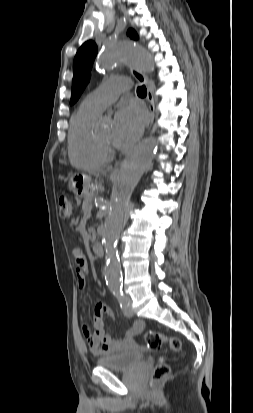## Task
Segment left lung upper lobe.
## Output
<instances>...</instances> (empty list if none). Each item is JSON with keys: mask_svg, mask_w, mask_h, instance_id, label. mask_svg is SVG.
<instances>
[{"mask_svg": "<svg viewBox=\"0 0 253 413\" xmlns=\"http://www.w3.org/2000/svg\"><path fill=\"white\" fill-rule=\"evenodd\" d=\"M128 35L137 39V34L130 29ZM98 48L95 42H85L77 51L73 62L72 96L70 104H74L80 97L90 78V71L97 55Z\"/></svg>", "mask_w": 253, "mask_h": 413, "instance_id": "5c2ea615", "label": "left lung upper lobe"}]
</instances>
